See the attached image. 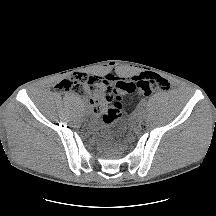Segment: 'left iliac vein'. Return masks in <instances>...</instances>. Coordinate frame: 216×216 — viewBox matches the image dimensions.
Listing matches in <instances>:
<instances>
[{
    "label": "left iliac vein",
    "instance_id": "1",
    "mask_svg": "<svg viewBox=\"0 0 216 216\" xmlns=\"http://www.w3.org/2000/svg\"><path fill=\"white\" fill-rule=\"evenodd\" d=\"M145 118H146V110L144 108H141L136 114V119L138 121H143Z\"/></svg>",
    "mask_w": 216,
    "mask_h": 216
}]
</instances>
